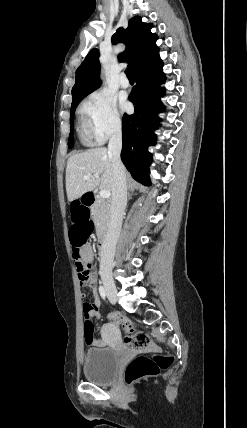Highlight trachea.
<instances>
[{
  "instance_id": "3493384b",
  "label": "trachea",
  "mask_w": 247,
  "mask_h": 428,
  "mask_svg": "<svg viewBox=\"0 0 247 428\" xmlns=\"http://www.w3.org/2000/svg\"><path fill=\"white\" fill-rule=\"evenodd\" d=\"M126 75H127V78L129 79V80H133V74H132V71L128 68V69H126Z\"/></svg>"
}]
</instances>
